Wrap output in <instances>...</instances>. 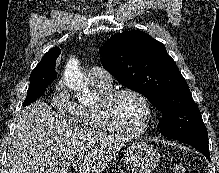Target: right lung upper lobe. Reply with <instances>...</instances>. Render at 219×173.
Here are the masks:
<instances>
[{"mask_svg": "<svg viewBox=\"0 0 219 173\" xmlns=\"http://www.w3.org/2000/svg\"><path fill=\"white\" fill-rule=\"evenodd\" d=\"M61 50L58 47L50 49L41 59L40 63L35 67L33 73L37 71H44L46 73H51L57 75L55 71V61L59 56Z\"/></svg>", "mask_w": 219, "mask_h": 173, "instance_id": "right-lung-upper-lobe-1", "label": "right lung upper lobe"}]
</instances>
